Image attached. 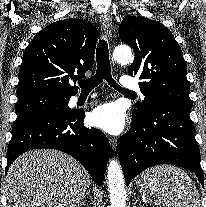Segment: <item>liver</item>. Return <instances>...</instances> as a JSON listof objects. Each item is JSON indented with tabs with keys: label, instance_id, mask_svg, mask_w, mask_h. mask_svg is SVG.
Instances as JSON below:
<instances>
[{
	"label": "liver",
	"instance_id": "1",
	"mask_svg": "<svg viewBox=\"0 0 206 207\" xmlns=\"http://www.w3.org/2000/svg\"><path fill=\"white\" fill-rule=\"evenodd\" d=\"M90 184V175L74 158L39 149L14 161L4 188L9 207H75Z\"/></svg>",
	"mask_w": 206,
	"mask_h": 207
}]
</instances>
